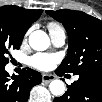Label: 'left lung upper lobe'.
<instances>
[{
    "instance_id": "left-lung-upper-lobe-1",
    "label": "left lung upper lobe",
    "mask_w": 102,
    "mask_h": 102,
    "mask_svg": "<svg viewBox=\"0 0 102 102\" xmlns=\"http://www.w3.org/2000/svg\"><path fill=\"white\" fill-rule=\"evenodd\" d=\"M61 22L68 34L67 57L56 71L102 76V21L82 11H46Z\"/></svg>"
}]
</instances>
